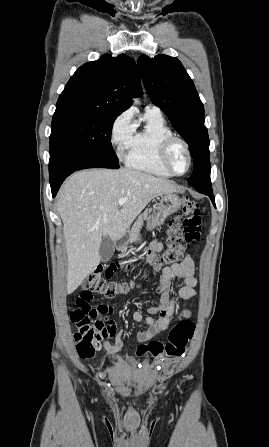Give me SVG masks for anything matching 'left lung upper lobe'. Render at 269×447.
<instances>
[{
  "label": "left lung upper lobe",
  "mask_w": 269,
  "mask_h": 447,
  "mask_svg": "<svg viewBox=\"0 0 269 447\" xmlns=\"http://www.w3.org/2000/svg\"><path fill=\"white\" fill-rule=\"evenodd\" d=\"M138 68L150 99L165 112L189 145L194 163L189 184L193 187L211 185L204 107L193 81L181 62L167 55L154 58L141 55Z\"/></svg>",
  "instance_id": "1"
}]
</instances>
